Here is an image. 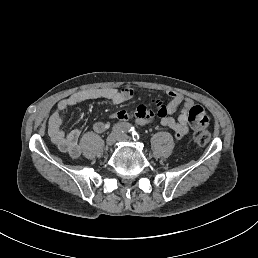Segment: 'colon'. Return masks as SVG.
I'll use <instances>...</instances> for the list:
<instances>
[{"mask_svg":"<svg viewBox=\"0 0 258 258\" xmlns=\"http://www.w3.org/2000/svg\"><path fill=\"white\" fill-rule=\"evenodd\" d=\"M210 138V133L204 128L196 129L193 133V141L199 146L207 145L210 141Z\"/></svg>","mask_w":258,"mask_h":258,"instance_id":"1","label":"colon"}]
</instances>
